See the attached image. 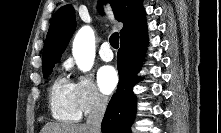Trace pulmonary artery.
Returning a JSON list of instances; mask_svg holds the SVG:
<instances>
[{
	"instance_id": "pulmonary-artery-1",
	"label": "pulmonary artery",
	"mask_w": 221,
	"mask_h": 133,
	"mask_svg": "<svg viewBox=\"0 0 221 133\" xmlns=\"http://www.w3.org/2000/svg\"><path fill=\"white\" fill-rule=\"evenodd\" d=\"M99 55L103 61L109 62L113 59L114 54L109 42H104L99 50Z\"/></svg>"
}]
</instances>
